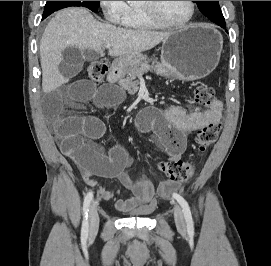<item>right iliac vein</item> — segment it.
I'll return each mask as SVG.
<instances>
[{"label": "right iliac vein", "mask_w": 271, "mask_h": 266, "mask_svg": "<svg viewBox=\"0 0 271 266\" xmlns=\"http://www.w3.org/2000/svg\"><path fill=\"white\" fill-rule=\"evenodd\" d=\"M99 228L98 200L91 203L89 208V236L94 237Z\"/></svg>", "instance_id": "1"}]
</instances>
